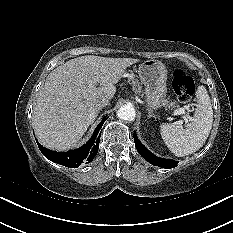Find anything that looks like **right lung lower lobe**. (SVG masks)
I'll return each instance as SVG.
<instances>
[{"instance_id": "1", "label": "right lung lower lobe", "mask_w": 233, "mask_h": 233, "mask_svg": "<svg viewBox=\"0 0 233 233\" xmlns=\"http://www.w3.org/2000/svg\"><path fill=\"white\" fill-rule=\"evenodd\" d=\"M104 120L105 117L101 121V123L97 126L91 139L84 146H82L77 150H71L68 152L59 153L44 148L42 145L38 143L37 140L36 142L42 154L52 162L58 163L66 167L76 168L83 161L86 162L92 161L95 155L97 154L99 148V142H100V135H101L99 131L104 123Z\"/></svg>"}]
</instances>
